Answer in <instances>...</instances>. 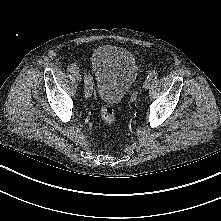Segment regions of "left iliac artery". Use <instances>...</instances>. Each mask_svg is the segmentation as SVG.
I'll return each mask as SVG.
<instances>
[{
  "instance_id": "1",
  "label": "left iliac artery",
  "mask_w": 221,
  "mask_h": 221,
  "mask_svg": "<svg viewBox=\"0 0 221 221\" xmlns=\"http://www.w3.org/2000/svg\"><path fill=\"white\" fill-rule=\"evenodd\" d=\"M157 76H158V74H157L156 72H151V73L147 76V78H148L149 80H153V79H156Z\"/></svg>"
}]
</instances>
